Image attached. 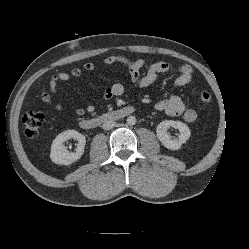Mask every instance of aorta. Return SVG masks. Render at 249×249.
<instances>
[{
	"label": "aorta",
	"instance_id": "aorta-1",
	"mask_svg": "<svg viewBox=\"0 0 249 249\" xmlns=\"http://www.w3.org/2000/svg\"><path fill=\"white\" fill-rule=\"evenodd\" d=\"M127 123H128L129 125H134V124L136 123V118H135L134 116H129V117L127 118Z\"/></svg>",
	"mask_w": 249,
	"mask_h": 249
}]
</instances>
